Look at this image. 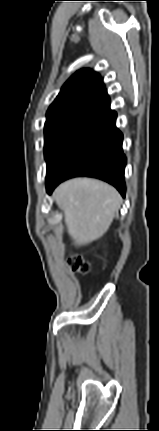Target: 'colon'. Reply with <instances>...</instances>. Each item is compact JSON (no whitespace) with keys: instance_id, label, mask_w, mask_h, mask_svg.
<instances>
[{"instance_id":"obj_1","label":"colon","mask_w":159,"mask_h":431,"mask_svg":"<svg viewBox=\"0 0 159 431\" xmlns=\"http://www.w3.org/2000/svg\"><path fill=\"white\" fill-rule=\"evenodd\" d=\"M70 265L74 272L82 275L87 274L89 271L88 263L81 257H74L71 259Z\"/></svg>"}]
</instances>
